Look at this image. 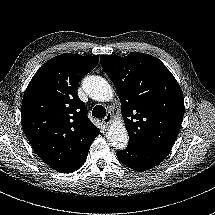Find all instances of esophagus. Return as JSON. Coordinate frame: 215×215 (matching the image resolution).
<instances>
[{"mask_svg": "<svg viewBox=\"0 0 215 215\" xmlns=\"http://www.w3.org/2000/svg\"><path fill=\"white\" fill-rule=\"evenodd\" d=\"M112 121L113 119L111 112H108L106 117H104V119L102 120L103 124L107 127L112 123Z\"/></svg>", "mask_w": 215, "mask_h": 215, "instance_id": "34e87169", "label": "esophagus"}]
</instances>
